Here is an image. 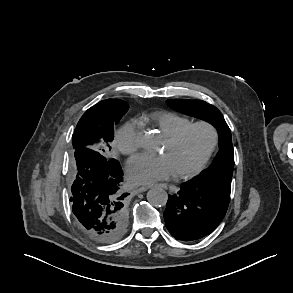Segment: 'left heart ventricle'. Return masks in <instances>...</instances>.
Returning <instances> with one entry per match:
<instances>
[{
  "label": "left heart ventricle",
  "mask_w": 293,
  "mask_h": 293,
  "mask_svg": "<svg viewBox=\"0 0 293 293\" xmlns=\"http://www.w3.org/2000/svg\"><path fill=\"white\" fill-rule=\"evenodd\" d=\"M209 142V131L203 127H195L176 144L166 140L161 153L170 158L176 173L184 172L197 164Z\"/></svg>",
  "instance_id": "obj_1"
}]
</instances>
